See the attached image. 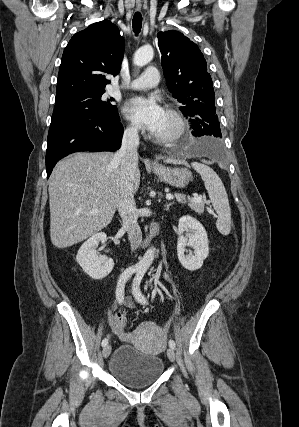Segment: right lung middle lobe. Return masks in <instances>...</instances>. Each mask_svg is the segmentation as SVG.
<instances>
[{
    "instance_id": "obj_1",
    "label": "right lung middle lobe",
    "mask_w": 299,
    "mask_h": 427,
    "mask_svg": "<svg viewBox=\"0 0 299 427\" xmlns=\"http://www.w3.org/2000/svg\"><path fill=\"white\" fill-rule=\"evenodd\" d=\"M105 91L81 94L55 102L52 121L74 114H88L103 118H117L116 106L103 97Z\"/></svg>"
}]
</instances>
